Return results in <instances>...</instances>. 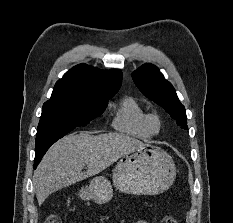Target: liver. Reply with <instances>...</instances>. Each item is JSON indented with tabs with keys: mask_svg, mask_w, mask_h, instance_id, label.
<instances>
[{
	"mask_svg": "<svg viewBox=\"0 0 233 223\" xmlns=\"http://www.w3.org/2000/svg\"><path fill=\"white\" fill-rule=\"evenodd\" d=\"M141 143L126 133L90 135L86 131L70 133L59 139L34 171L33 185L38 205L57 189L97 175ZM85 165L88 169L82 171Z\"/></svg>",
	"mask_w": 233,
	"mask_h": 223,
	"instance_id": "liver-1",
	"label": "liver"
}]
</instances>
